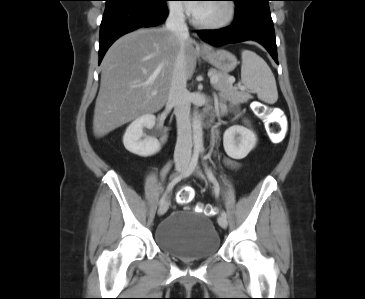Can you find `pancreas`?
Returning <instances> with one entry per match:
<instances>
[{"label":"pancreas","instance_id":"cf45deb5","mask_svg":"<svg viewBox=\"0 0 365 299\" xmlns=\"http://www.w3.org/2000/svg\"><path fill=\"white\" fill-rule=\"evenodd\" d=\"M211 75L218 77V82L214 84L215 89L220 91V95L234 103H244L251 98V95L245 91H239L238 88L233 87L234 78L230 77L227 73L210 69Z\"/></svg>","mask_w":365,"mask_h":299}]
</instances>
